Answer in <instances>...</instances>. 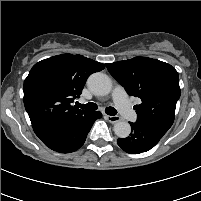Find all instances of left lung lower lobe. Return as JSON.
I'll use <instances>...</instances> for the list:
<instances>
[{"label": "left lung lower lobe", "instance_id": "0a47b994", "mask_svg": "<svg viewBox=\"0 0 201 201\" xmlns=\"http://www.w3.org/2000/svg\"><path fill=\"white\" fill-rule=\"evenodd\" d=\"M129 137L118 139V145L127 153L139 154L153 148L170 127L157 123H130Z\"/></svg>", "mask_w": 201, "mask_h": 201}]
</instances>
